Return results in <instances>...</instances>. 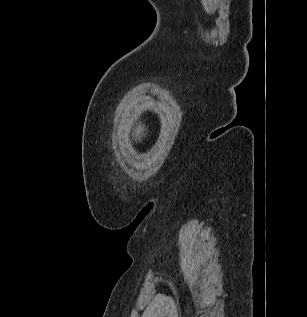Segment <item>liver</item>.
<instances>
[{"instance_id":"liver-1","label":"liver","mask_w":307,"mask_h":317,"mask_svg":"<svg viewBox=\"0 0 307 317\" xmlns=\"http://www.w3.org/2000/svg\"><path fill=\"white\" fill-rule=\"evenodd\" d=\"M146 131V128L144 125L142 124H139L136 129H135V132H134V135H135V140L137 141V139L140 141L141 140V137L144 136V132ZM133 135V137H134Z\"/></svg>"}]
</instances>
